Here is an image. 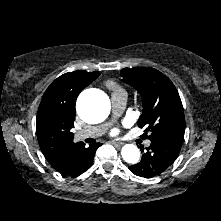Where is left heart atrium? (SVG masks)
Segmentation results:
<instances>
[{"label":"left heart atrium","instance_id":"left-heart-atrium-1","mask_svg":"<svg viewBox=\"0 0 221 221\" xmlns=\"http://www.w3.org/2000/svg\"><path fill=\"white\" fill-rule=\"evenodd\" d=\"M117 133H118V130H117V129L113 131V134H117Z\"/></svg>","mask_w":221,"mask_h":221}]
</instances>
